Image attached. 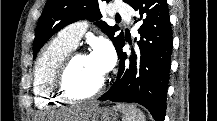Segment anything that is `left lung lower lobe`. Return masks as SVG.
I'll return each mask as SVG.
<instances>
[{"label":"left lung lower lobe","instance_id":"0a47b994","mask_svg":"<svg viewBox=\"0 0 217 121\" xmlns=\"http://www.w3.org/2000/svg\"><path fill=\"white\" fill-rule=\"evenodd\" d=\"M142 22L137 47L127 57L125 39L116 48L119 70L116 81L99 100L134 102L146 107L156 121H164L171 66L173 36L166 0H130Z\"/></svg>","mask_w":217,"mask_h":121}]
</instances>
